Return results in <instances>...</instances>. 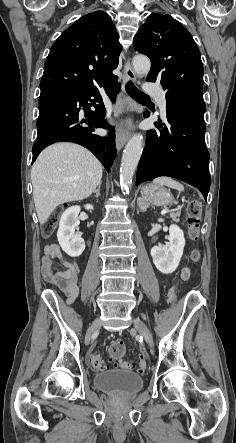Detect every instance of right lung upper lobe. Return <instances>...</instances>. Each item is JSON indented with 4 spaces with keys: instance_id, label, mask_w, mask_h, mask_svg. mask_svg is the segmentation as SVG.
I'll use <instances>...</instances> for the list:
<instances>
[{
    "instance_id": "1",
    "label": "right lung upper lobe",
    "mask_w": 236,
    "mask_h": 443,
    "mask_svg": "<svg viewBox=\"0 0 236 443\" xmlns=\"http://www.w3.org/2000/svg\"><path fill=\"white\" fill-rule=\"evenodd\" d=\"M111 18L102 11L82 16L52 45L40 89L91 88L115 77L122 47Z\"/></svg>"
}]
</instances>
